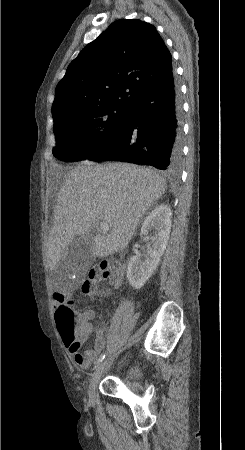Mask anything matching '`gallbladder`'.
I'll return each mask as SVG.
<instances>
[{
  "label": "gallbladder",
  "instance_id": "obj_1",
  "mask_svg": "<svg viewBox=\"0 0 245 450\" xmlns=\"http://www.w3.org/2000/svg\"><path fill=\"white\" fill-rule=\"evenodd\" d=\"M94 241L92 236H77L66 249L55 269V276L64 273H76L83 277L91 266L95 256L93 254Z\"/></svg>",
  "mask_w": 245,
  "mask_h": 450
}]
</instances>
